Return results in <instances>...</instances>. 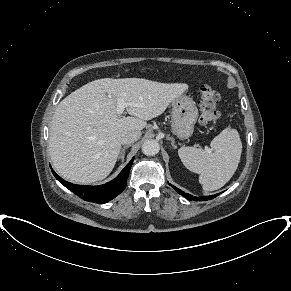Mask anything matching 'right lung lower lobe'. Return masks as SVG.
<instances>
[{
    "instance_id": "1",
    "label": "right lung lower lobe",
    "mask_w": 291,
    "mask_h": 291,
    "mask_svg": "<svg viewBox=\"0 0 291 291\" xmlns=\"http://www.w3.org/2000/svg\"><path fill=\"white\" fill-rule=\"evenodd\" d=\"M133 160L134 158L128 163V165L120 172V174L115 179H113L111 182L99 186L72 184L63 180L53 170L52 173L62 185H64L74 194L79 196L81 199L88 202L102 204L114 199L125 189L126 181L129 176Z\"/></svg>"
}]
</instances>
